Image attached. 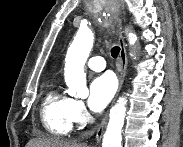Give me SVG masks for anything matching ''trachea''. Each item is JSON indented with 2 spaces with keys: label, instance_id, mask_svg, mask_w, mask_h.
I'll list each match as a JSON object with an SVG mask.
<instances>
[{
  "label": "trachea",
  "instance_id": "trachea-1",
  "mask_svg": "<svg viewBox=\"0 0 183 147\" xmlns=\"http://www.w3.org/2000/svg\"><path fill=\"white\" fill-rule=\"evenodd\" d=\"M119 53H120V47H118V46L112 47V49H111V56L113 58H117Z\"/></svg>",
  "mask_w": 183,
  "mask_h": 147
}]
</instances>
